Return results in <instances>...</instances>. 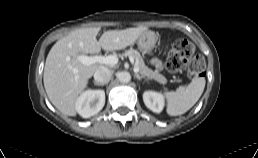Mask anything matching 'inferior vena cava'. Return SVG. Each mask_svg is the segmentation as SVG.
<instances>
[{
    "instance_id": "inferior-vena-cava-1",
    "label": "inferior vena cava",
    "mask_w": 258,
    "mask_h": 158,
    "mask_svg": "<svg viewBox=\"0 0 258 158\" xmlns=\"http://www.w3.org/2000/svg\"><path fill=\"white\" fill-rule=\"evenodd\" d=\"M113 71L105 66H101L94 73V79L97 83L106 84L112 78Z\"/></svg>"
}]
</instances>
